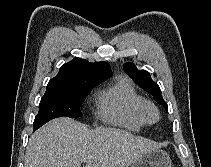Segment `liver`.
Listing matches in <instances>:
<instances>
[{"label":"liver","instance_id":"liver-1","mask_svg":"<svg viewBox=\"0 0 211 167\" xmlns=\"http://www.w3.org/2000/svg\"><path fill=\"white\" fill-rule=\"evenodd\" d=\"M154 142L115 128L90 130L70 118L54 119L29 139L25 167H129Z\"/></svg>","mask_w":211,"mask_h":167}]
</instances>
